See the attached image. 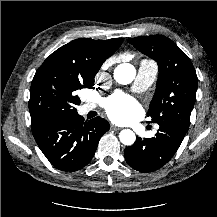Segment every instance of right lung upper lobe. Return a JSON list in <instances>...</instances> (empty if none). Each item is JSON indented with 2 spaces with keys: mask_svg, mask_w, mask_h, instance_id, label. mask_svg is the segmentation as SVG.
<instances>
[{
  "mask_svg": "<svg viewBox=\"0 0 217 217\" xmlns=\"http://www.w3.org/2000/svg\"><path fill=\"white\" fill-rule=\"evenodd\" d=\"M123 38L76 39L53 52L42 64L57 66L79 77H95L103 62L120 47Z\"/></svg>",
  "mask_w": 217,
  "mask_h": 217,
  "instance_id": "cb5924a9",
  "label": "right lung upper lobe"
}]
</instances>
